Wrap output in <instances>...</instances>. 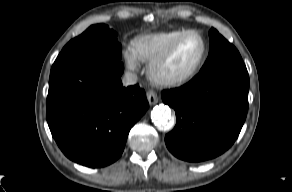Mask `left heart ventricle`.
<instances>
[{"label": "left heart ventricle", "mask_w": 292, "mask_h": 192, "mask_svg": "<svg viewBox=\"0 0 292 192\" xmlns=\"http://www.w3.org/2000/svg\"><path fill=\"white\" fill-rule=\"evenodd\" d=\"M202 50V42L198 36H187L166 64L165 72L173 76L188 72L198 62Z\"/></svg>", "instance_id": "b2bd125f"}]
</instances>
